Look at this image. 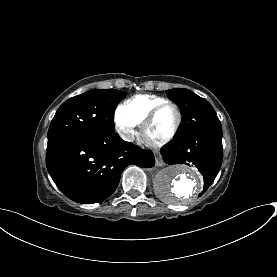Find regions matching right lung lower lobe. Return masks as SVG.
<instances>
[{
	"label": "right lung lower lobe",
	"instance_id": "98d812e1",
	"mask_svg": "<svg viewBox=\"0 0 277 277\" xmlns=\"http://www.w3.org/2000/svg\"><path fill=\"white\" fill-rule=\"evenodd\" d=\"M129 164L150 168L155 159L151 151L122 140L115 132L74 135L47 145L46 165L51 178L78 203L92 204L108 198Z\"/></svg>",
	"mask_w": 277,
	"mask_h": 277
}]
</instances>
